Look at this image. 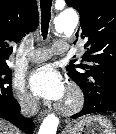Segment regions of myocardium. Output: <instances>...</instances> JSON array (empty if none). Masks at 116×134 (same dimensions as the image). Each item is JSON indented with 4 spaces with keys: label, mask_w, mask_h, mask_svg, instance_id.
Masks as SVG:
<instances>
[{
    "label": "myocardium",
    "mask_w": 116,
    "mask_h": 134,
    "mask_svg": "<svg viewBox=\"0 0 116 134\" xmlns=\"http://www.w3.org/2000/svg\"><path fill=\"white\" fill-rule=\"evenodd\" d=\"M84 104V96L81 90L75 86L70 87L68 93L59 106V111L63 115H72L78 112Z\"/></svg>",
    "instance_id": "1"
}]
</instances>
